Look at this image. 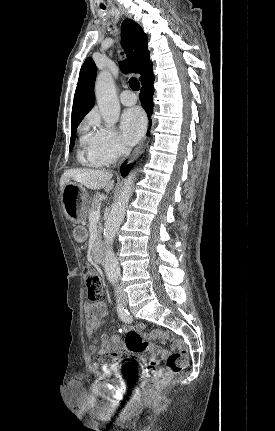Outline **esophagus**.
<instances>
[{"label": "esophagus", "mask_w": 275, "mask_h": 431, "mask_svg": "<svg viewBox=\"0 0 275 431\" xmlns=\"http://www.w3.org/2000/svg\"><path fill=\"white\" fill-rule=\"evenodd\" d=\"M145 144H146V140H144L135 150H134V152L132 153V155H131V157H130V160H134L135 158H137L140 154H141V152L143 151V149H144V147H145Z\"/></svg>", "instance_id": "1"}]
</instances>
